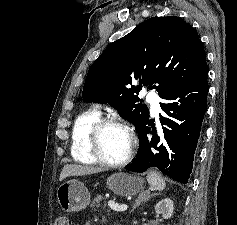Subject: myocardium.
Instances as JSON below:
<instances>
[{
	"mask_svg": "<svg viewBox=\"0 0 237 225\" xmlns=\"http://www.w3.org/2000/svg\"><path fill=\"white\" fill-rule=\"evenodd\" d=\"M108 126H118L123 128L130 138V147L126 156L122 160L117 162H113L106 159L101 150V133ZM88 144L90 152L92 156L96 159V161L107 167L120 168L126 166L133 158L137 147V137L133 128L126 122L113 117H105L98 119L91 127L88 134Z\"/></svg>",
	"mask_w": 237,
	"mask_h": 225,
	"instance_id": "obj_1",
	"label": "myocardium"
}]
</instances>
